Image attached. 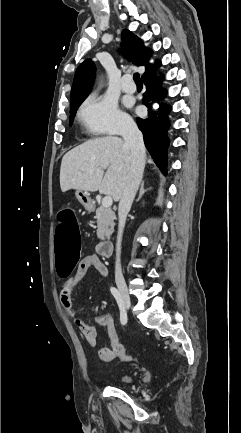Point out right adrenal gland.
Instances as JSON below:
<instances>
[{
  "mask_svg": "<svg viewBox=\"0 0 241 433\" xmlns=\"http://www.w3.org/2000/svg\"><path fill=\"white\" fill-rule=\"evenodd\" d=\"M152 188H148V189H144V181L141 183V186H140V190H139V197H138V199L136 200L137 202L142 198V196H143V194L145 193V192H147L148 190H151Z\"/></svg>",
  "mask_w": 241,
  "mask_h": 433,
  "instance_id": "1",
  "label": "right adrenal gland"
}]
</instances>
